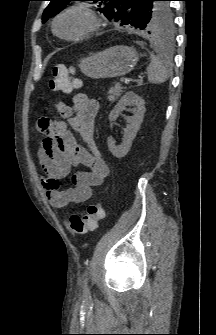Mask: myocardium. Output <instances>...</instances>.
I'll return each mask as SVG.
<instances>
[{"mask_svg":"<svg viewBox=\"0 0 216 335\" xmlns=\"http://www.w3.org/2000/svg\"><path fill=\"white\" fill-rule=\"evenodd\" d=\"M71 12H78L83 14L87 20H88V25L87 27L81 31L80 33L74 35V36H63L61 35L58 30H57V25L59 20L66 14L71 13ZM102 26V19L101 17L96 13L95 10H93L91 7L82 5V4H77V5H72L64 10H62L53 20L52 23V30L55 35H57L59 38L66 40V41H76L85 38L86 36L92 34L96 30H98Z\"/></svg>","mask_w":216,"mask_h":335,"instance_id":"myocardium-1","label":"myocardium"}]
</instances>
